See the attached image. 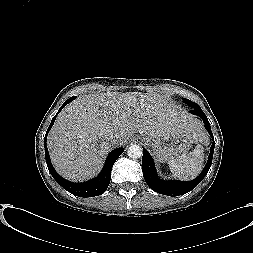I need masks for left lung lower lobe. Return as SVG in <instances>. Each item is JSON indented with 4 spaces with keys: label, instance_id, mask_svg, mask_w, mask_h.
<instances>
[{
    "label": "left lung lower lobe",
    "instance_id": "1",
    "mask_svg": "<svg viewBox=\"0 0 253 253\" xmlns=\"http://www.w3.org/2000/svg\"><path fill=\"white\" fill-rule=\"evenodd\" d=\"M190 107L192 108L190 113L200 116L203 119L205 128L213 139V143L210 148V154L208 157V162L206 166L204 167L202 173L196 179L192 181H187V182L178 181V180L163 181L158 177L156 173L155 165H154V161L152 157L150 156L148 151L145 148H143V157H142L143 176L148 186L157 193L167 195V196H179V195L185 194L191 191L192 189H194L204 179V177L207 175L210 169L212 159H213L214 147H215V142H214L213 134L211 131L210 123L198 104L196 103L191 104Z\"/></svg>",
    "mask_w": 253,
    "mask_h": 253
}]
</instances>
